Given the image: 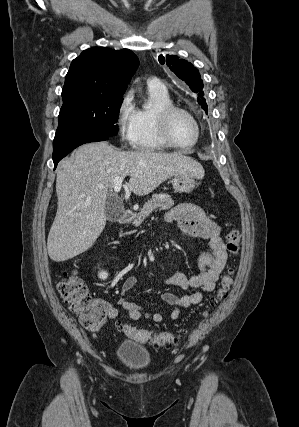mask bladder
<instances>
[{"label":"bladder","mask_w":299,"mask_h":427,"mask_svg":"<svg viewBox=\"0 0 299 427\" xmlns=\"http://www.w3.org/2000/svg\"><path fill=\"white\" fill-rule=\"evenodd\" d=\"M117 356L129 370L138 371L150 365L151 354L136 342L122 340L117 348Z\"/></svg>","instance_id":"obj_1"}]
</instances>
